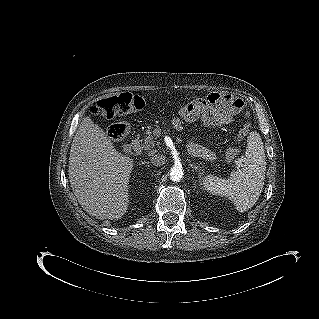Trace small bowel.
<instances>
[{
    "mask_svg": "<svg viewBox=\"0 0 319 319\" xmlns=\"http://www.w3.org/2000/svg\"><path fill=\"white\" fill-rule=\"evenodd\" d=\"M235 110H226L223 107L211 109L208 111V118L206 123L209 127L217 128L223 125H227L233 121ZM173 125L176 129H181V121L178 118L173 120ZM189 151L197 156L212 157L211 153L204 147L196 144L193 140L188 143Z\"/></svg>",
    "mask_w": 319,
    "mask_h": 319,
    "instance_id": "c3829d8e",
    "label": "small bowel"
}]
</instances>
